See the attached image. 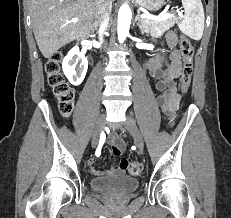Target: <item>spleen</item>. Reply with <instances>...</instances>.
I'll return each instance as SVG.
<instances>
[{
  "instance_id": "obj_1",
  "label": "spleen",
  "mask_w": 231,
  "mask_h": 218,
  "mask_svg": "<svg viewBox=\"0 0 231 218\" xmlns=\"http://www.w3.org/2000/svg\"><path fill=\"white\" fill-rule=\"evenodd\" d=\"M184 16L178 22L179 29L191 39L200 40L204 31V10L201 0H182Z\"/></svg>"
}]
</instances>
